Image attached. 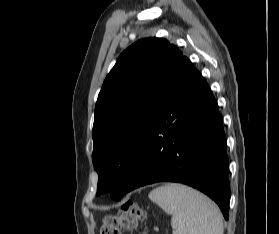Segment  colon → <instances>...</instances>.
Listing matches in <instances>:
<instances>
[{
    "instance_id": "obj_1",
    "label": "colon",
    "mask_w": 279,
    "mask_h": 234,
    "mask_svg": "<svg viewBox=\"0 0 279 234\" xmlns=\"http://www.w3.org/2000/svg\"><path fill=\"white\" fill-rule=\"evenodd\" d=\"M143 218L144 211L136 202H125L116 214H108L103 218L100 234H121L122 231H132Z\"/></svg>"
}]
</instances>
